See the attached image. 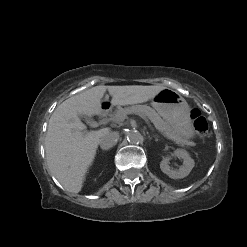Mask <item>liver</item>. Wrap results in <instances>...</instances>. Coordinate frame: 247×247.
I'll use <instances>...</instances> for the list:
<instances>
[{
	"mask_svg": "<svg viewBox=\"0 0 247 247\" xmlns=\"http://www.w3.org/2000/svg\"><path fill=\"white\" fill-rule=\"evenodd\" d=\"M165 88L162 85H99L65 100L53 112L45 139L46 159L51 174L67 191H81L100 138L105 132H85L86 126L78 116L99 114L106 91L112 96V105L125 106L147 102Z\"/></svg>",
	"mask_w": 247,
	"mask_h": 247,
	"instance_id": "1",
	"label": "liver"
}]
</instances>
